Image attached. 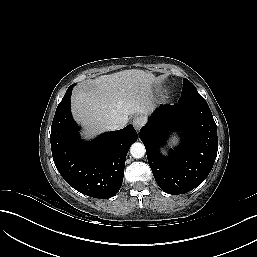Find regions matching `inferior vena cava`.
<instances>
[{
    "mask_svg": "<svg viewBox=\"0 0 257 257\" xmlns=\"http://www.w3.org/2000/svg\"><path fill=\"white\" fill-rule=\"evenodd\" d=\"M126 123H127V118L122 119V120H120L118 122H114V123L108 125L107 129L108 130H118L120 128H123L126 125Z\"/></svg>",
    "mask_w": 257,
    "mask_h": 257,
    "instance_id": "inferior-vena-cava-1",
    "label": "inferior vena cava"
}]
</instances>
